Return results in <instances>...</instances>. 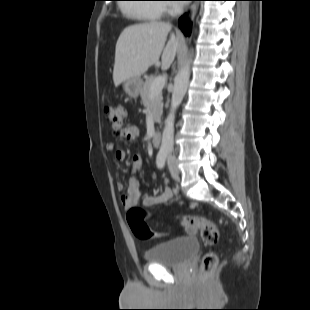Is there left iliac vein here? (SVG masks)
Wrapping results in <instances>:
<instances>
[{"instance_id": "obj_1", "label": "left iliac vein", "mask_w": 310, "mask_h": 310, "mask_svg": "<svg viewBox=\"0 0 310 310\" xmlns=\"http://www.w3.org/2000/svg\"><path fill=\"white\" fill-rule=\"evenodd\" d=\"M168 168H169L171 176L174 179H178L180 176V170L178 168L177 159L173 155H169L168 157Z\"/></svg>"}]
</instances>
